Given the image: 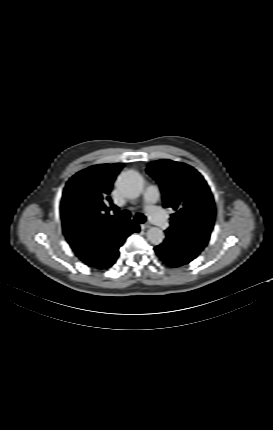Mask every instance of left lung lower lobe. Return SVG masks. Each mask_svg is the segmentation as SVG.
<instances>
[{
    "label": "left lung lower lobe",
    "mask_w": 273,
    "mask_h": 430,
    "mask_svg": "<svg viewBox=\"0 0 273 430\" xmlns=\"http://www.w3.org/2000/svg\"><path fill=\"white\" fill-rule=\"evenodd\" d=\"M155 251L160 259L170 267L185 265L196 258L182 254L175 246L172 236L167 233L164 242L156 246Z\"/></svg>",
    "instance_id": "1"
}]
</instances>
